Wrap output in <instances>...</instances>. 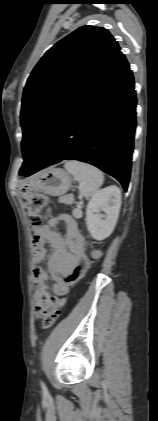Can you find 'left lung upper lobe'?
Wrapping results in <instances>:
<instances>
[{
    "mask_svg": "<svg viewBox=\"0 0 158 421\" xmlns=\"http://www.w3.org/2000/svg\"><path fill=\"white\" fill-rule=\"evenodd\" d=\"M119 50L107 29L82 26L45 53L23 93L20 173L33 167L64 112Z\"/></svg>",
    "mask_w": 158,
    "mask_h": 421,
    "instance_id": "1",
    "label": "left lung upper lobe"
}]
</instances>
